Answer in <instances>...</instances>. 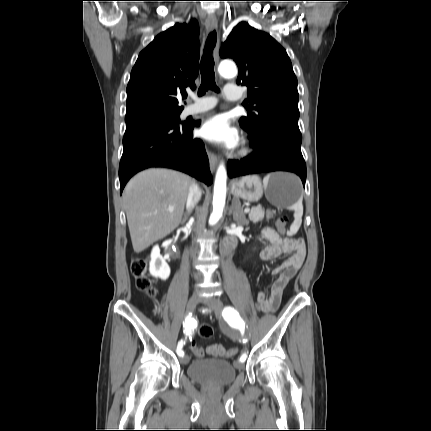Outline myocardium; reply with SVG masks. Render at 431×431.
<instances>
[{
  "instance_id": "f54148a6",
  "label": "myocardium",
  "mask_w": 431,
  "mask_h": 431,
  "mask_svg": "<svg viewBox=\"0 0 431 431\" xmlns=\"http://www.w3.org/2000/svg\"><path fill=\"white\" fill-rule=\"evenodd\" d=\"M248 153H249V148L247 146H244L240 151L241 155H246Z\"/></svg>"
}]
</instances>
